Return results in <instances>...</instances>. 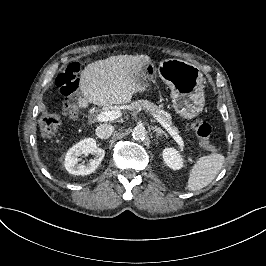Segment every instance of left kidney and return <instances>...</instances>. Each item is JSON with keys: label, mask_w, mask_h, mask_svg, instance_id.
<instances>
[{"label": "left kidney", "mask_w": 266, "mask_h": 266, "mask_svg": "<svg viewBox=\"0 0 266 266\" xmlns=\"http://www.w3.org/2000/svg\"><path fill=\"white\" fill-rule=\"evenodd\" d=\"M163 158L165 163L172 169H179L181 167V159L173 149H165L163 151Z\"/></svg>", "instance_id": "obj_1"}]
</instances>
